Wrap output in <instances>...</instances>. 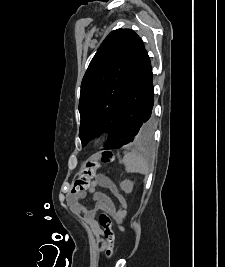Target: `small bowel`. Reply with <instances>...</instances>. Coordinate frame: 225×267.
I'll return each mask as SVG.
<instances>
[{
	"label": "small bowel",
	"mask_w": 225,
	"mask_h": 267,
	"mask_svg": "<svg viewBox=\"0 0 225 267\" xmlns=\"http://www.w3.org/2000/svg\"><path fill=\"white\" fill-rule=\"evenodd\" d=\"M99 188L109 190L117 198L119 207L116 208L111 198L99 192ZM88 194H91L94 200V207L92 209H88L81 203V200L85 199ZM123 202L126 204L124 197L120 194L115 183L108 176L102 174L96 176L94 181L89 186L87 192L74 193L68 197L69 205L75 211L82 214L85 220L95 229L97 232V239L101 243L102 248H104L106 245V239L104 236V231L100 230L96 223V212L98 210H105L111 214L117 222H120L125 216V206H121ZM121 229L123 228L121 227Z\"/></svg>",
	"instance_id": "obj_1"
}]
</instances>
